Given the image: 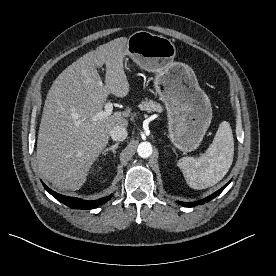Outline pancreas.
I'll return each mask as SVG.
<instances>
[{
	"instance_id": "pancreas-1",
	"label": "pancreas",
	"mask_w": 276,
	"mask_h": 276,
	"mask_svg": "<svg viewBox=\"0 0 276 276\" xmlns=\"http://www.w3.org/2000/svg\"><path fill=\"white\" fill-rule=\"evenodd\" d=\"M139 108L141 110L147 111L148 113L151 112H162L163 111V107L159 104L156 103L154 101H143L142 104L139 105Z\"/></svg>"
}]
</instances>
